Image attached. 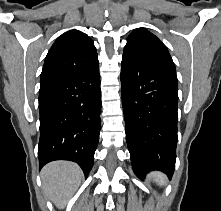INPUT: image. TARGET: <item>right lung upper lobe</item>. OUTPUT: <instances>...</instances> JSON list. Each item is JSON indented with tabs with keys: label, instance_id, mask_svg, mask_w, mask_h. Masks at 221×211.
<instances>
[{
	"label": "right lung upper lobe",
	"instance_id": "obj_1",
	"mask_svg": "<svg viewBox=\"0 0 221 211\" xmlns=\"http://www.w3.org/2000/svg\"><path fill=\"white\" fill-rule=\"evenodd\" d=\"M99 65L96 48L91 38L78 30L59 36L44 62L40 85L86 71Z\"/></svg>",
	"mask_w": 221,
	"mask_h": 211
}]
</instances>
